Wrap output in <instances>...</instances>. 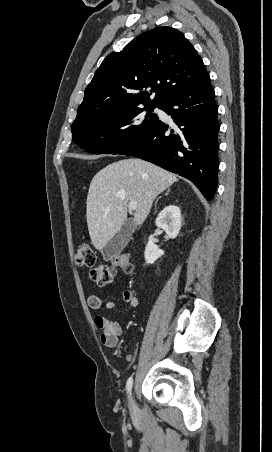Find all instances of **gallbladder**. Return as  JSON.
<instances>
[{"label":"gallbladder","mask_w":272,"mask_h":452,"mask_svg":"<svg viewBox=\"0 0 272 452\" xmlns=\"http://www.w3.org/2000/svg\"><path fill=\"white\" fill-rule=\"evenodd\" d=\"M136 225L132 219H128L121 227V229L114 235V237L101 250L103 259L105 261L119 255L127 246Z\"/></svg>","instance_id":"1"}]
</instances>
